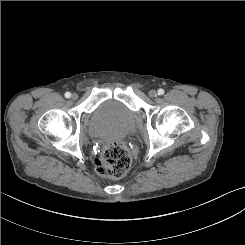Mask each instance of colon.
Returning <instances> with one entry per match:
<instances>
[{
  "label": "colon",
  "instance_id": "colon-1",
  "mask_svg": "<svg viewBox=\"0 0 245 245\" xmlns=\"http://www.w3.org/2000/svg\"><path fill=\"white\" fill-rule=\"evenodd\" d=\"M131 157L126 146L120 142L106 145L95 160L97 172L104 177L121 178L129 170Z\"/></svg>",
  "mask_w": 245,
  "mask_h": 245
}]
</instances>
